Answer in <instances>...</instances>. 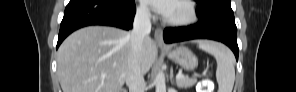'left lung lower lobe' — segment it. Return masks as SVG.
<instances>
[{"mask_svg": "<svg viewBox=\"0 0 296 92\" xmlns=\"http://www.w3.org/2000/svg\"><path fill=\"white\" fill-rule=\"evenodd\" d=\"M192 39H212L223 42L231 48L238 60L237 27L233 13H220L209 24L198 21L187 27L166 28L164 41L166 43L180 42Z\"/></svg>", "mask_w": 296, "mask_h": 92, "instance_id": "left-lung-lower-lobe-1", "label": "left lung lower lobe"}]
</instances>
